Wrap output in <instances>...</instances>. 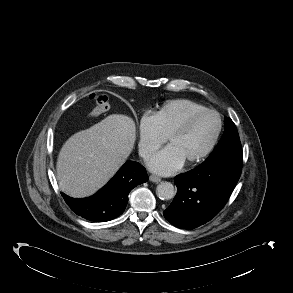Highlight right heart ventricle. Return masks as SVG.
<instances>
[{
    "label": "right heart ventricle",
    "mask_w": 293,
    "mask_h": 293,
    "mask_svg": "<svg viewBox=\"0 0 293 293\" xmlns=\"http://www.w3.org/2000/svg\"><path fill=\"white\" fill-rule=\"evenodd\" d=\"M206 109L205 106L188 99H175L164 103L153 113L161 134L166 138L191 114Z\"/></svg>",
    "instance_id": "1"
}]
</instances>
